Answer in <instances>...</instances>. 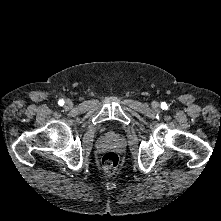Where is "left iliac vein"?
Listing matches in <instances>:
<instances>
[{
    "instance_id": "left-iliac-vein-1",
    "label": "left iliac vein",
    "mask_w": 221,
    "mask_h": 221,
    "mask_svg": "<svg viewBox=\"0 0 221 221\" xmlns=\"http://www.w3.org/2000/svg\"><path fill=\"white\" fill-rule=\"evenodd\" d=\"M157 106H158V104H157V103H155V104H154V107H155V108H157Z\"/></svg>"
}]
</instances>
